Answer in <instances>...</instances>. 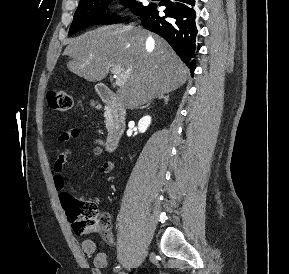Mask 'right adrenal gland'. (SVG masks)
I'll use <instances>...</instances> for the list:
<instances>
[{"instance_id":"right-adrenal-gland-1","label":"right adrenal gland","mask_w":289,"mask_h":274,"mask_svg":"<svg viewBox=\"0 0 289 274\" xmlns=\"http://www.w3.org/2000/svg\"><path fill=\"white\" fill-rule=\"evenodd\" d=\"M158 99H164L165 103L167 104L168 103V100H169V95H166V96H160L158 97ZM151 102H149L146 106H142L140 107V109H143V108H146L150 105Z\"/></svg>"}]
</instances>
